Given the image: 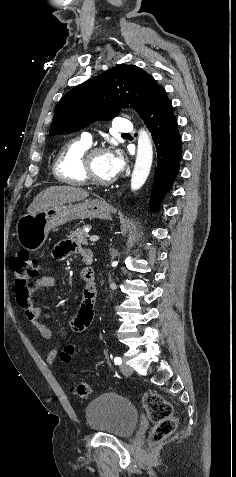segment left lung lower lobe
Listing matches in <instances>:
<instances>
[{"label":"left lung lower lobe","mask_w":236,"mask_h":477,"mask_svg":"<svg viewBox=\"0 0 236 477\" xmlns=\"http://www.w3.org/2000/svg\"><path fill=\"white\" fill-rule=\"evenodd\" d=\"M143 120L157 149V168L150 201L151 209L157 211L178 174L182 157L177 121L171 102L162 87Z\"/></svg>","instance_id":"0a47b994"}]
</instances>
